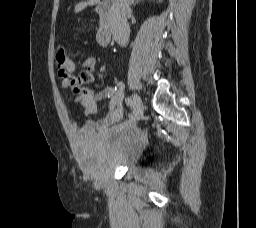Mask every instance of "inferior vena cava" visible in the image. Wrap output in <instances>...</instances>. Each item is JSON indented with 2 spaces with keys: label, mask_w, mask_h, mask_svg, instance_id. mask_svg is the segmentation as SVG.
Wrapping results in <instances>:
<instances>
[{
  "label": "inferior vena cava",
  "mask_w": 256,
  "mask_h": 228,
  "mask_svg": "<svg viewBox=\"0 0 256 228\" xmlns=\"http://www.w3.org/2000/svg\"><path fill=\"white\" fill-rule=\"evenodd\" d=\"M134 0H115L111 7L110 20L113 38L121 46L129 42L130 28L126 15L130 11V5Z\"/></svg>",
  "instance_id": "602c4592"
}]
</instances>
